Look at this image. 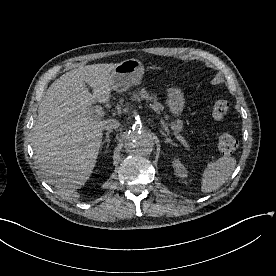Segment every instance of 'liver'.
<instances>
[{"instance_id":"obj_1","label":"liver","mask_w":276,"mask_h":276,"mask_svg":"<svg viewBox=\"0 0 276 276\" xmlns=\"http://www.w3.org/2000/svg\"><path fill=\"white\" fill-rule=\"evenodd\" d=\"M117 65L93 64L63 74L39 105L33 126L35 158L46 181L64 195L74 194L93 172L105 120L93 117L91 106L110 100Z\"/></svg>"}]
</instances>
